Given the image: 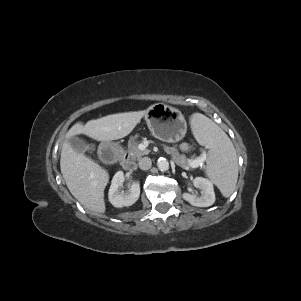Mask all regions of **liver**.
<instances>
[{
    "mask_svg": "<svg viewBox=\"0 0 301 301\" xmlns=\"http://www.w3.org/2000/svg\"><path fill=\"white\" fill-rule=\"evenodd\" d=\"M145 115V111L107 115L85 125L76 123L67 133L61 151V173L71 194L88 210L105 212L104 190L109 175L97 163L76 152L68 139L79 134L97 141L121 139L129 135Z\"/></svg>",
    "mask_w": 301,
    "mask_h": 301,
    "instance_id": "1",
    "label": "liver"
}]
</instances>
